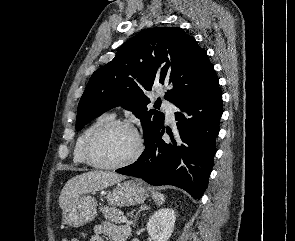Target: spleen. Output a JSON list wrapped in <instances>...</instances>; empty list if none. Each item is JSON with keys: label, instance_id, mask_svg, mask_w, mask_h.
Wrapping results in <instances>:
<instances>
[{"label": "spleen", "instance_id": "obj_1", "mask_svg": "<svg viewBox=\"0 0 295 241\" xmlns=\"http://www.w3.org/2000/svg\"><path fill=\"white\" fill-rule=\"evenodd\" d=\"M152 198L157 205H161L165 201L164 195L160 192L152 191Z\"/></svg>", "mask_w": 295, "mask_h": 241}]
</instances>
